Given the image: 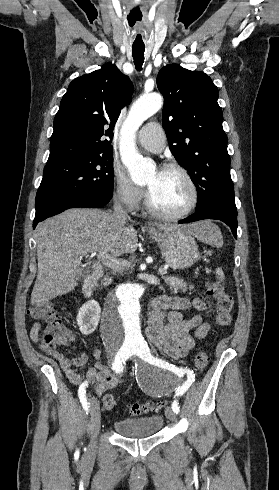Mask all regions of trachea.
I'll list each match as a JSON object with an SVG mask.
<instances>
[{"label":"trachea","mask_w":279,"mask_h":490,"mask_svg":"<svg viewBox=\"0 0 279 490\" xmlns=\"http://www.w3.org/2000/svg\"><path fill=\"white\" fill-rule=\"evenodd\" d=\"M144 50L145 47H136V46L132 47L134 64L138 71L141 70L144 62Z\"/></svg>","instance_id":"3493384b"}]
</instances>
